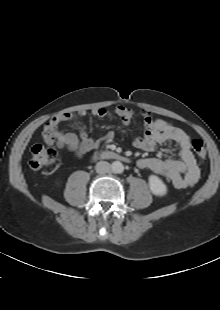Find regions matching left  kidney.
<instances>
[{"mask_svg":"<svg viewBox=\"0 0 220 310\" xmlns=\"http://www.w3.org/2000/svg\"><path fill=\"white\" fill-rule=\"evenodd\" d=\"M149 188L151 192L156 196H164L167 194V186L156 175L149 176Z\"/></svg>","mask_w":220,"mask_h":310,"instance_id":"5707ae66","label":"left kidney"}]
</instances>
